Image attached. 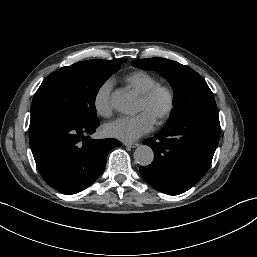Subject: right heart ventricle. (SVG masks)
<instances>
[{
    "label": "right heart ventricle",
    "instance_id": "1",
    "mask_svg": "<svg viewBox=\"0 0 257 257\" xmlns=\"http://www.w3.org/2000/svg\"><path fill=\"white\" fill-rule=\"evenodd\" d=\"M125 83L138 95H142L150 88L158 84L157 79L144 71H137L129 74L124 79Z\"/></svg>",
    "mask_w": 257,
    "mask_h": 257
}]
</instances>
